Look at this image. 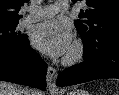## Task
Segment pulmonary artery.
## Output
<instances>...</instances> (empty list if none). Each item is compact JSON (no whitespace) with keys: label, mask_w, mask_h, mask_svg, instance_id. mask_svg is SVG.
<instances>
[{"label":"pulmonary artery","mask_w":119,"mask_h":95,"mask_svg":"<svg viewBox=\"0 0 119 95\" xmlns=\"http://www.w3.org/2000/svg\"><path fill=\"white\" fill-rule=\"evenodd\" d=\"M69 9V3L66 0H59L55 4L38 6L30 10L26 17V22H34L52 17L58 12H66Z\"/></svg>","instance_id":"obj_1"}]
</instances>
